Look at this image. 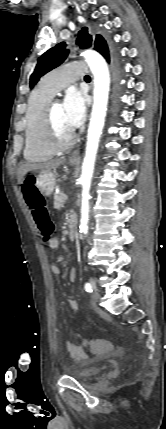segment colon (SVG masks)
Wrapping results in <instances>:
<instances>
[{
	"mask_svg": "<svg viewBox=\"0 0 166 429\" xmlns=\"http://www.w3.org/2000/svg\"><path fill=\"white\" fill-rule=\"evenodd\" d=\"M25 201L30 208L34 220L45 240H48L54 232V224L50 219L46 201L40 194L35 180L32 176H29L22 187ZM83 346L88 347L94 353H109L115 349L113 342L109 340H90L81 338Z\"/></svg>",
	"mask_w": 166,
	"mask_h": 429,
	"instance_id": "5ec220e1",
	"label": "colon"
}]
</instances>
